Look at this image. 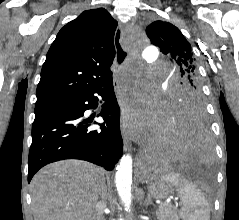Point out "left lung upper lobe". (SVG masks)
<instances>
[{"label": "left lung upper lobe", "mask_w": 239, "mask_h": 220, "mask_svg": "<svg viewBox=\"0 0 239 220\" xmlns=\"http://www.w3.org/2000/svg\"><path fill=\"white\" fill-rule=\"evenodd\" d=\"M146 33L151 43L172 62L179 75L170 86L169 109L204 112L201 81L190 43L177 27L164 21L153 22L146 28Z\"/></svg>", "instance_id": "left-lung-upper-lobe-1"}]
</instances>
